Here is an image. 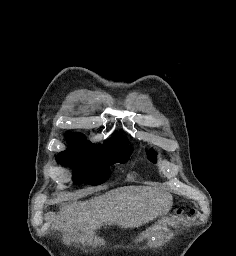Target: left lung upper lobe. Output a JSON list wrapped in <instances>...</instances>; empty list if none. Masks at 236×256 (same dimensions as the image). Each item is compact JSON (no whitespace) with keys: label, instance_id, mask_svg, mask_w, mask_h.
<instances>
[{"label":"left lung upper lobe","instance_id":"5c2ea615","mask_svg":"<svg viewBox=\"0 0 236 256\" xmlns=\"http://www.w3.org/2000/svg\"><path fill=\"white\" fill-rule=\"evenodd\" d=\"M147 156H148V159L153 162V163H156V156H155V153L154 151L150 150L147 152Z\"/></svg>","mask_w":236,"mask_h":256}]
</instances>
